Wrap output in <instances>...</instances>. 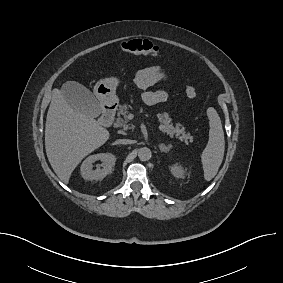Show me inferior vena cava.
Listing matches in <instances>:
<instances>
[{"mask_svg":"<svg viewBox=\"0 0 283 283\" xmlns=\"http://www.w3.org/2000/svg\"><path fill=\"white\" fill-rule=\"evenodd\" d=\"M119 143H120V144H130V143H132V141H131V140H128V139H120V140H119Z\"/></svg>","mask_w":283,"mask_h":283,"instance_id":"obj_1","label":"inferior vena cava"}]
</instances>
